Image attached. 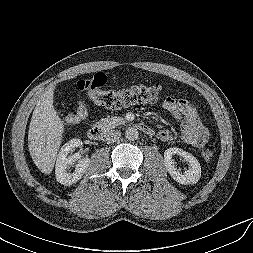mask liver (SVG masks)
Returning <instances> with one entry per match:
<instances>
[{
	"label": "liver",
	"instance_id": "obj_1",
	"mask_svg": "<svg viewBox=\"0 0 253 253\" xmlns=\"http://www.w3.org/2000/svg\"><path fill=\"white\" fill-rule=\"evenodd\" d=\"M54 89L55 86H51L41 94L28 131L31 158L44 174H50L54 168L64 133V124L53 105Z\"/></svg>",
	"mask_w": 253,
	"mask_h": 253
}]
</instances>
